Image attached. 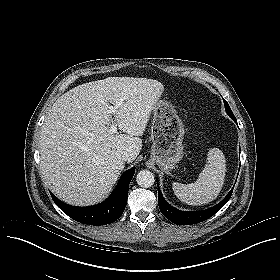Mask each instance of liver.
Instances as JSON below:
<instances>
[{"instance_id":"1","label":"liver","mask_w":280,"mask_h":280,"mask_svg":"<svg viewBox=\"0 0 280 280\" xmlns=\"http://www.w3.org/2000/svg\"><path fill=\"white\" fill-rule=\"evenodd\" d=\"M164 89L157 80L108 77L78 85L53 104L40 134V169L62 201L88 206L102 201L142 149L140 138ZM110 104L117 107L114 118ZM114 119V120H113ZM125 134H111V122Z\"/></svg>"}]
</instances>
